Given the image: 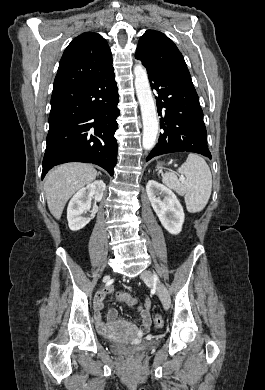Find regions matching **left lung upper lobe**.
Instances as JSON below:
<instances>
[{
	"label": "left lung upper lobe",
	"instance_id": "1",
	"mask_svg": "<svg viewBox=\"0 0 265 390\" xmlns=\"http://www.w3.org/2000/svg\"><path fill=\"white\" fill-rule=\"evenodd\" d=\"M135 57L150 71L189 74L177 46L165 34L156 30H147L141 36Z\"/></svg>",
	"mask_w": 265,
	"mask_h": 390
}]
</instances>
